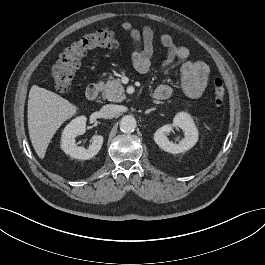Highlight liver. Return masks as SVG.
Wrapping results in <instances>:
<instances>
[{"label":"liver","mask_w":265,"mask_h":265,"mask_svg":"<svg viewBox=\"0 0 265 265\" xmlns=\"http://www.w3.org/2000/svg\"><path fill=\"white\" fill-rule=\"evenodd\" d=\"M27 109L30 140L39 158L43 159L52 137L77 112V107L54 92L33 85Z\"/></svg>","instance_id":"1"}]
</instances>
